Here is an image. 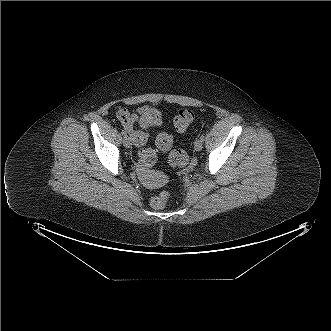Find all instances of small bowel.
<instances>
[{"mask_svg": "<svg viewBox=\"0 0 331 331\" xmlns=\"http://www.w3.org/2000/svg\"><path fill=\"white\" fill-rule=\"evenodd\" d=\"M150 108L149 106H142L137 109L136 112H130L128 109L122 107L117 110L116 116L123 127L132 138L133 143L137 147H143L148 140V135L143 134L139 129L135 128V125L138 124L141 126V114ZM140 161L143 165L148 166L154 162V152L150 148H143L139 153Z\"/></svg>", "mask_w": 331, "mask_h": 331, "instance_id": "obj_1", "label": "small bowel"}]
</instances>
